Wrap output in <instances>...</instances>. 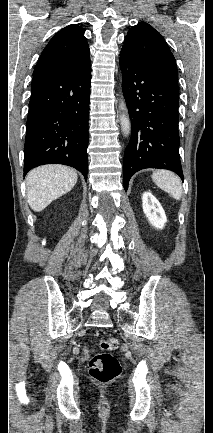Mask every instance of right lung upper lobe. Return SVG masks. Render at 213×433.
<instances>
[{
	"label": "right lung upper lobe",
	"instance_id": "obj_1",
	"mask_svg": "<svg viewBox=\"0 0 213 433\" xmlns=\"http://www.w3.org/2000/svg\"><path fill=\"white\" fill-rule=\"evenodd\" d=\"M84 31L71 24L57 32L44 48L33 75L70 72L90 61Z\"/></svg>",
	"mask_w": 213,
	"mask_h": 433
}]
</instances>
